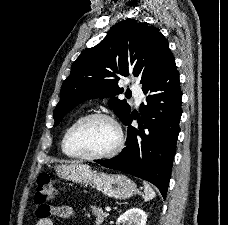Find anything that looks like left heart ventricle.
Instances as JSON below:
<instances>
[{"label": "left heart ventricle", "instance_id": "b2bd125f", "mask_svg": "<svg viewBox=\"0 0 228 225\" xmlns=\"http://www.w3.org/2000/svg\"><path fill=\"white\" fill-rule=\"evenodd\" d=\"M116 142L114 127L103 119L92 118L74 129L69 137L68 150L74 154L99 155L111 150Z\"/></svg>", "mask_w": 228, "mask_h": 225}]
</instances>
